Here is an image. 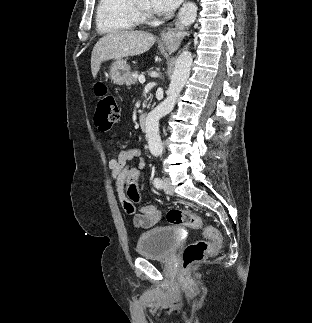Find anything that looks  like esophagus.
<instances>
[{
  "label": "esophagus",
  "mask_w": 312,
  "mask_h": 323,
  "mask_svg": "<svg viewBox=\"0 0 312 323\" xmlns=\"http://www.w3.org/2000/svg\"><path fill=\"white\" fill-rule=\"evenodd\" d=\"M186 35L184 25L177 19L173 29L168 30L164 35V42L169 48L177 49Z\"/></svg>",
  "instance_id": "1"
}]
</instances>
